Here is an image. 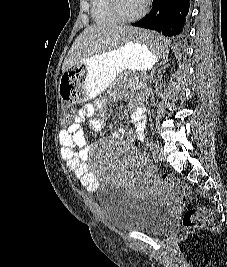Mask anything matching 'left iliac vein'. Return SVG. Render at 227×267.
I'll list each match as a JSON object with an SVG mask.
<instances>
[{
    "label": "left iliac vein",
    "mask_w": 227,
    "mask_h": 267,
    "mask_svg": "<svg viewBox=\"0 0 227 267\" xmlns=\"http://www.w3.org/2000/svg\"><path fill=\"white\" fill-rule=\"evenodd\" d=\"M153 155L157 161L162 162L164 160L163 149L160 145L156 144L153 149Z\"/></svg>",
    "instance_id": "4c4485c4"
}]
</instances>
